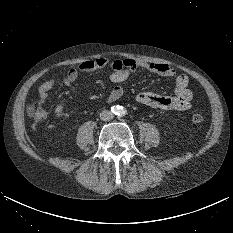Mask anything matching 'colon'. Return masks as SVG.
Returning <instances> with one entry per match:
<instances>
[{"mask_svg":"<svg viewBox=\"0 0 233 233\" xmlns=\"http://www.w3.org/2000/svg\"><path fill=\"white\" fill-rule=\"evenodd\" d=\"M30 116L34 123L42 122L46 118V111L44 108L30 109ZM191 120L195 124H201L204 121V117L200 113H193Z\"/></svg>","mask_w":233,"mask_h":233,"instance_id":"5ec220e1","label":"colon"}]
</instances>
